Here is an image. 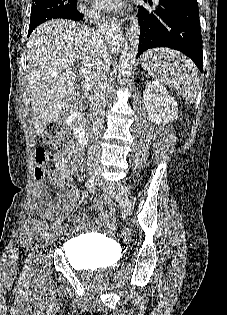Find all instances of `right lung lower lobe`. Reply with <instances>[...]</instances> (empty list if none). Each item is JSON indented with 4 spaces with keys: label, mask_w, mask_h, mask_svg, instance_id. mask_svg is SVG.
I'll return each mask as SVG.
<instances>
[{
    "label": "right lung lower lobe",
    "mask_w": 227,
    "mask_h": 315,
    "mask_svg": "<svg viewBox=\"0 0 227 315\" xmlns=\"http://www.w3.org/2000/svg\"><path fill=\"white\" fill-rule=\"evenodd\" d=\"M83 16H84V15L81 14V13H79L78 10H77V8L74 7V8L72 9V13L70 14V16H69L68 19L80 20V19L83 18ZM31 32H32V31H31ZM31 32H29V33H31Z\"/></svg>",
    "instance_id": "obj_1"
}]
</instances>
